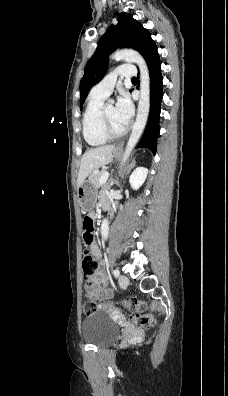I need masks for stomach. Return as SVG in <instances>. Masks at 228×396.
I'll return each instance as SVG.
<instances>
[{
	"label": "stomach",
	"mask_w": 228,
	"mask_h": 396,
	"mask_svg": "<svg viewBox=\"0 0 228 396\" xmlns=\"http://www.w3.org/2000/svg\"><path fill=\"white\" fill-rule=\"evenodd\" d=\"M114 156H119V149L113 151ZM77 197L79 200L80 207L85 212H90L93 210L96 200H97V188L94 187L90 181H84L77 188Z\"/></svg>",
	"instance_id": "1"
}]
</instances>
